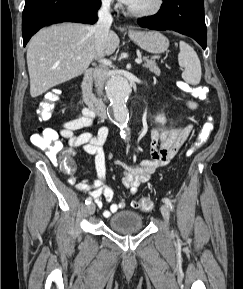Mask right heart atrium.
Returning a JSON list of instances; mask_svg holds the SVG:
<instances>
[{"label":"right heart atrium","mask_w":243,"mask_h":289,"mask_svg":"<svg viewBox=\"0 0 243 289\" xmlns=\"http://www.w3.org/2000/svg\"><path fill=\"white\" fill-rule=\"evenodd\" d=\"M102 5L104 6H110L113 0H100Z\"/></svg>","instance_id":"obj_1"}]
</instances>
